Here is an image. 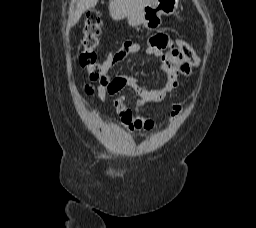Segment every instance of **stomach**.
Returning <instances> with one entry per match:
<instances>
[{
  "mask_svg": "<svg viewBox=\"0 0 256 228\" xmlns=\"http://www.w3.org/2000/svg\"><path fill=\"white\" fill-rule=\"evenodd\" d=\"M179 0H152V2L136 13L128 16L129 25L136 27L143 25L149 30L157 29L161 26V16L172 15L178 8Z\"/></svg>",
  "mask_w": 256,
  "mask_h": 228,
  "instance_id": "stomach-1",
  "label": "stomach"
}]
</instances>
